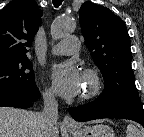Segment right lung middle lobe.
<instances>
[{"mask_svg":"<svg viewBox=\"0 0 144 137\" xmlns=\"http://www.w3.org/2000/svg\"><path fill=\"white\" fill-rule=\"evenodd\" d=\"M0 92H15L30 98L39 94L33 66L27 57L0 64Z\"/></svg>","mask_w":144,"mask_h":137,"instance_id":"right-lung-middle-lobe-1","label":"right lung middle lobe"}]
</instances>
